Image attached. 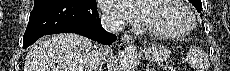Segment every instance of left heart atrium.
Returning a JSON list of instances; mask_svg holds the SVG:
<instances>
[{"instance_id":"1","label":"left heart atrium","mask_w":230,"mask_h":71,"mask_svg":"<svg viewBox=\"0 0 230 71\" xmlns=\"http://www.w3.org/2000/svg\"><path fill=\"white\" fill-rule=\"evenodd\" d=\"M104 7L115 16L130 23L144 22L143 1L105 0Z\"/></svg>"}]
</instances>
